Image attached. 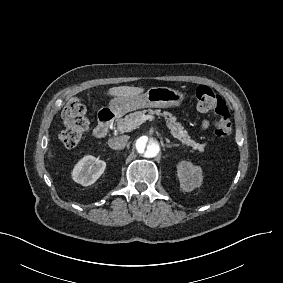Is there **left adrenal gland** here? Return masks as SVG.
<instances>
[{"mask_svg": "<svg viewBox=\"0 0 283 283\" xmlns=\"http://www.w3.org/2000/svg\"><path fill=\"white\" fill-rule=\"evenodd\" d=\"M180 146V144H166V147L171 148V147H177Z\"/></svg>", "mask_w": 283, "mask_h": 283, "instance_id": "1", "label": "left adrenal gland"}]
</instances>
